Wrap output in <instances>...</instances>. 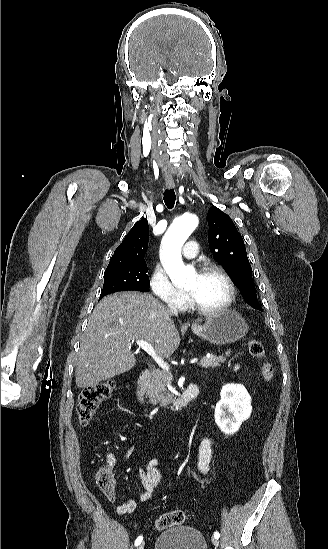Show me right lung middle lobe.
<instances>
[{
	"instance_id": "1",
	"label": "right lung middle lobe",
	"mask_w": 328,
	"mask_h": 549,
	"mask_svg": "<svg viewBox=\"0 0 328 549\" xmlns=\"http://www.w3.org/2000/svg\"><path fill=\"white\" fill-rule=\"evenodd\" d=\"M145 261H139L104 273V285L100 299L118 291H141L149 289L150 282ZM99 299V300H100Z\"/></svg>"
}]
</instances>
